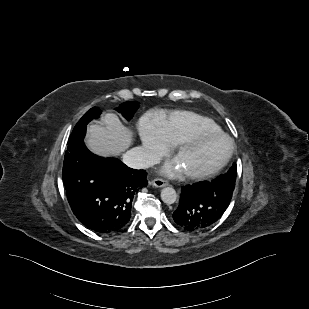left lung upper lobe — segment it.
Segmentation results:
<instances>
[{
	"instance_id": "obj_1",
	"label": "left lung upper lobe",
	"mask_w": 309,
	"mask_h": 309,
	"mask_svg": "<svg viewBox=\"0 0 309 309\" xmlns=\"http://www.w3.org/2000/svg\"><path fill=\"white\" fill-rule=\"evenodd\" d=\"M236 175H237V165L234 163L227 173L221 175L216 179V182L235 185Z\"/></svg>"
}]
</instances>
